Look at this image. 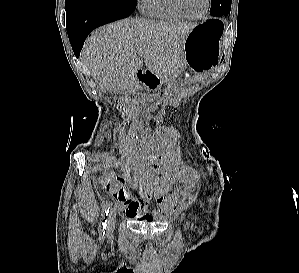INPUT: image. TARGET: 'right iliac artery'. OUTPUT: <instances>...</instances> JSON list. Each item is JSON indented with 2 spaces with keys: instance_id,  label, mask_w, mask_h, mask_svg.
<instances>
[{
  "instance_id": "82829eb1",
  "label": "right iliac artery",
  "mask_w": 299,
  "mask_h": 273,
  "mask_svg": "<svg viewBox=\"0 0 299 273\" xmlns=\"http://www.w3.org/2000/svg\"><path fill=\"white\" fill-rule=\"evenodd\" d=\"M109 209H110V203H106L104 204L103 206V211H102V223H101V228H100V235L101 236H104L105 234V230H106V222H107V216H108V213H109Z\"/></svg>"
}]
</instances>
